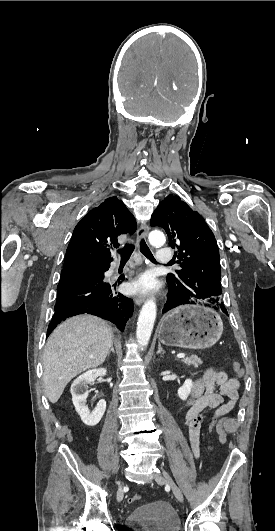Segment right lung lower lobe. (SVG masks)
Segmentation results:
<instances>
[{
  "mask_svg": "<svg viewBox=\"0 0 275 531\" xmlns=\"http://www.w3.org/2000/svg\"><path fill=\"white\" fill-rule=\"evenodd\" d=\"M109 267L110 262L82 263L62 269L47 336L61 321L84 313L109 320L124 330L133 311V301L116 291L124 277L114 284L103 280Z\"/></svg>",
  "mask_w": 275,
  "mask_h": 531,
  "instance_id": "right-lung-lower-lobe-1",
  "label": "right lung lower lobe"
}]
</instances>
